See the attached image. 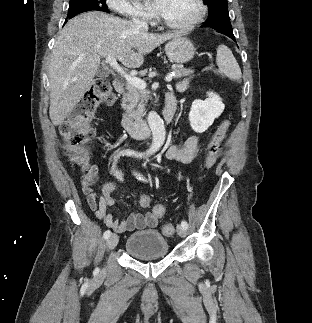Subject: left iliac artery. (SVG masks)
<instances>
[{"label":"left iliac artery","mask_w":312,"mask_h":323,"mask_svg":"<svg viewBox=\"0 0 312 323\" xmlns=\"http://www.w3.org/2000/svg\"><path fill=\"white\" fill-rule=\"evenodd\" d=\"M138 179L139 180H145L143 177H142V175H140V174H138ZM181 225L185 228V229H187L188 228V223L186 222V221H182V223H181Z\"/></svg>","instance_id":"left-iliac-artery-1"}]
</instances>
